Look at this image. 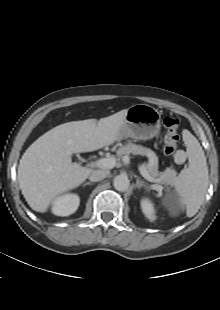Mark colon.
Masks as SVG:
<instances>
[{
  "instance_id": "1",
  "label": "colon",
  "mask_w": 220,
  "mask_h": 310,
  "mask_svg": "<svg viewBox=\"0 0 220 310\" xmlns=\"http://www.w3.org/2000/svg\"><path fill=\"white\" fill-rule=\"evenodd\" d=\"M180 122L176 117L167 116L163 121L165 129L164 152L166 155L173 156L178 163L185 160V153L178 149Z\"/></svg>"
}]
</instances>
